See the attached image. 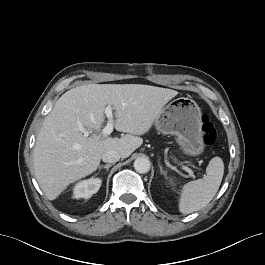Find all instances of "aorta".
<instances>
[{
  "instance_id": "obj_1",
  "label": "aorta",
  "mask_w": 265,
  "mask_h": 265,
  "mask_svg": "<svg viewBox=\"0 0 265 265\" xmlns=\"http://www.w3.org/2000/svg\"><path fill=\"white\" fill-rule=\"evenodd\" d=\"M134 169L141 174L150 170V161L146 157H139L134 161Z\"/></svg>"
}]
</instances>
